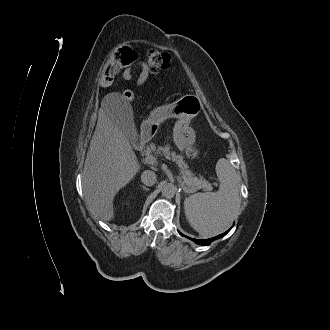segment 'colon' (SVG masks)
I'll use <instances>...</instances> for the list:
<instances>
[{"label": "colon", "instance_id": "5ec220e1", "mask_svg": "<svg viewBox=\"0 0 330 330\" xmlns=\"http://www.w3.org/2000/svg\"><path fill=\"white\" fill-rule=\"evenodd\" d=\"M136 57L137 54L131 46H123L113 52L101 71L102 83H111L121 70L134 64ZM171 63V56L167 52L150 50L146 55V64L152 73L168 69ZM122 96L126 100H132L134 98L133 92L130 90L123 91ZM189 155L191 157H197L198 149L196 147L191 148Z\"/></svg>", "mask_w": 330, "mask_h": 330}]
</instances>
